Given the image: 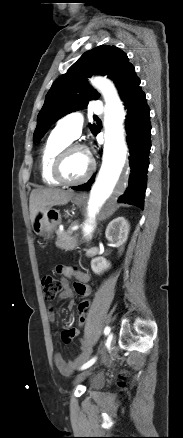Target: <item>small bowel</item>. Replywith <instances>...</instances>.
<instances>
[{"label":"small bowel","instance_id":"obj_1","mask_svg":"<svg viewBox=\"0 0 183 438\" xmlns=\"http://www.w3.org/2000/svg\"><path fill=\"white\" fill-rule=\"evenodd\" d=\"M55 271L58 275L61 276L60 284L62 286V291L59 294V299H71L75 295H78L82 298L88 297L91 294V287L88 285L90 281V276L87 273L77 270L74 267L67 265H57ZM75 277L77 282L73 285H69L68 278ZM74 302L71 301L69 303V307L72 309L74 307ZM48 317L51 322L55 321V312L53 309H50L48 312ZM79 334V330L77 328H68L62 332V339L65 343H69ZM91 356L89 350L83 351L79 354L74 360L66 361L60 353H56L54 355V363L57 369L63 375L72 374L79 366L85 363Z\"/></svg>","mask_w":183,"mask_h":438}]
</instances>
